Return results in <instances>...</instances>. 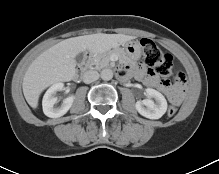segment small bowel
Segmentation results:
<instances>
[{
    "mask_svg": "<svg viewBox=\"0 0 219 174\" xmlns=\"http://www.w3.org/2000/svg\"><path fill=\"white\" fill-rule=\"evenodd\" d=\"M133 73L138 79L143 80L145 84L162 90L171 103L179 105L183 101L186 94L185 86L180 84L171 85L166 81H161L142 67L135 69Z\"/></svg>",
    "mask_w": 219,
    "mask_h": 174,
    "instance_id": "obj_1",
    "label": "small bowel"
}]
</instances>
